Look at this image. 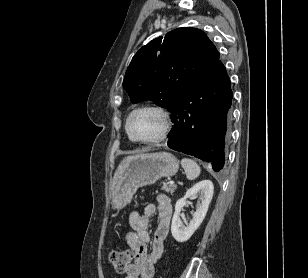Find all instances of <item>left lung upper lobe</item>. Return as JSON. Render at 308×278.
I'll return each instance as SVG.
<instances>
[{"label": "left lung upper lobe", "mask_w": 308, "mask_h": 278, "mask_svg": "<svg viewBox=\"0 0 308 278\" xmlns=\"http://www.w3.org/2000/svg\"><path fill=\"white\" fill-rule=\"evenodd\" d=\"M206 34L184 27L152 40L133 57L123 81L132 103L152 100L171 110L188 87L219 61Z\"/></svg>", "instance_id": "1"}]
</instances>
